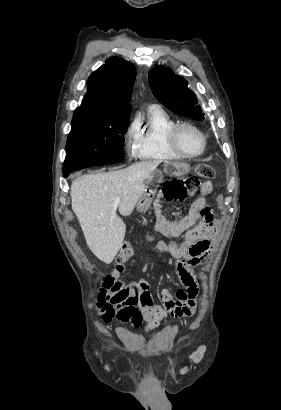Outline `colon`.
<instances>
[{"label": "colon", "mask_w": 281, "mask_h": 410, "mask_svg": "<svg viewBox=\"0 0 281 410\" xmlns=\"http://www.w3.org/2000/svg\"><path fill=\"white\" fill-rule=\"evenodd\" d=\"M196 175L198 178L209 180L215 176V171L210 165L201 163L196 166ZM197 186V178H188L186 180H171L163 184L162 194L164 199L168 202L183 201L197 188ZM132 252L133 244L129 241L125 242L121 246L117 254V262L120 264L127 262L131 257ZM195 305V302H191L186 308L185 312L190 313L191 309L195 308ZM129 313L134 316V323L132 324L135 327H139V313L135 310H130ZM114 315L115 313L107 315L106 320L109 321ZM117 316L123 322L129 321L124 312H117Z\"/></svg>", "instance_id": "5ec220e1"}]
</instances>
